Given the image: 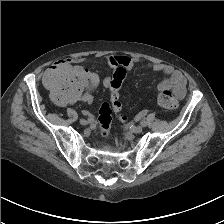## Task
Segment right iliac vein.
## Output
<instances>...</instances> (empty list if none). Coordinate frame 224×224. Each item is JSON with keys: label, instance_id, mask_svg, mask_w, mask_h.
Wrapping results in <instances>:
<instances>
[{"label": "right iliac vein", "instance_id": "right-iliac-vein-1", "mask_svg": "<svg viewBox=\"0 0 224 224\" xmlns=\"http://www.w3.org/2000/svg\"><path fill=\"white\" fill-rule=\"evenodd\" d=\"M89 122L87 121V120H85V119H81L80 120V124L81 125H87Z\"/></svg>", "mask_w": 224, "mask_h": 224}]
</instances>
